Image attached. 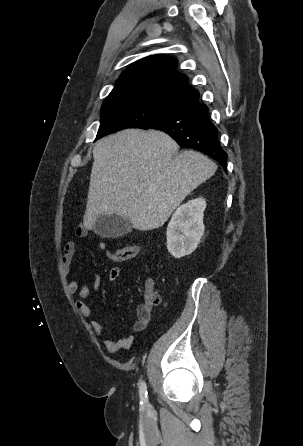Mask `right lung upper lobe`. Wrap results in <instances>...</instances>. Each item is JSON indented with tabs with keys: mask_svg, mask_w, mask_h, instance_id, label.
Returning <instances> with one entry per match:
<instances>
[{
	"mask_svg": "<svg viewBox=\"0 0 303 446\" xmlns=\"http://www.w3.org/2000/svg\"><path fill=\"white\" fill-rule=\"evenodd\" d=\"M176 64L175 58L165 55L135 62L122 72L102 107L139 105L166 111L174 100H184V105L198 101L199 92L189 85L186 75L177 72Z\"/></svg>",
	"mask_w": 303,
	"mask_h": 446,
	"instance_id": "obj_1",
	"label": "right lung upper lobe"
}]
</instances>
